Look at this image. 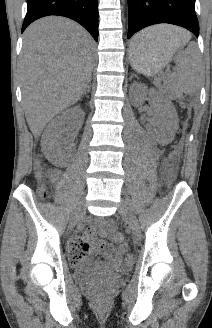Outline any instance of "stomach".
I'll return each instance as SVG.
<instances>
[{
    "instance_id": "1",
    "label": "stomach",
    "mask_w": 212,
    "mask_h": 328,
    "mask_svg": "<svg viewBox=\"0 0 212 328\" xmlns=\"http://www.w3.org/2000/svg\"><path fill=\"white\" fill-rule=\"evenodd\" d=\"M129 50V57L133 68L146 76H154L171 59L172 55L179 49L183 41L178 39H165L162 45L152 46L136 51L132 47Z\"/></svg>"
}]
</instances>
